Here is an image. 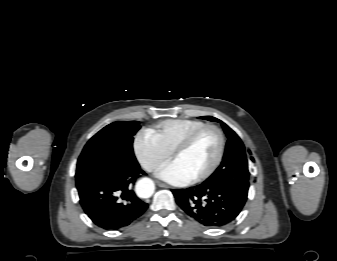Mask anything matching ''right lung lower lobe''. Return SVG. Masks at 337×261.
Listing matches in <instances>:
<instances>
[{
	"mask_svg": "<svg viewBox=\"0 0 337 261\" xmlns=\"http://www.w3.org/2000/svg\"><path fill=\"white\" fill-rule=\"evenodd\" d=\"M145 175L139 164L111 162L76 179L80 204L89 218L105 230H118L137 220L147 209L133 190Z\"/></svg>",
	"mask_w": 337,
	"mask_h": 261,
	"instance_id": "98d812e1",
	"label": "right lung lower lobe"
}]
</instances>
